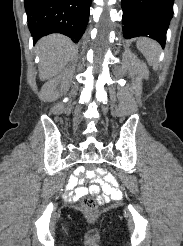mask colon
<instances>
[{
	"label": "colon",
	"instance_id": "5ec220e1",
	"mask_svg": "<svg viewBox=\"0 0 183 246\" xmlns=\"http://www.w3.org/2000/svg\"><path fill=\"white\" fill-rule=\"evenodd\" d=\"M94 168H95V162H86V164H84V169H94ZM81 207L83 211H85L86 213L93 214L97 209V202L94 198L87 196L82 200Z\"/></svg>",
	"mask_w": 183,
	"mask_h": 246
}]
</instances>
